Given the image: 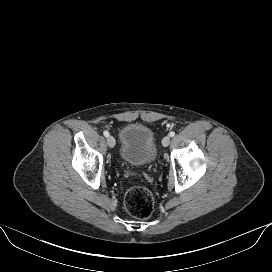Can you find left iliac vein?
<instances>
[{"label": "left iliac vein", "mask_w": 272, "mask_h": 272, "mask_svg": "<svg viewBox=\"0 0 272 272\" xmlns=\"http://www.w3.org/2000/svg\"><path fill=\"white\" fill-rule=\"evenodd\" d=\"M170 143V137L169 136H165L163 139H162V145L164 147H167Z\"/></svg>", "instance_id": "4c4485c4"}]
</instances>
